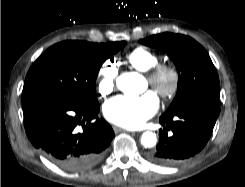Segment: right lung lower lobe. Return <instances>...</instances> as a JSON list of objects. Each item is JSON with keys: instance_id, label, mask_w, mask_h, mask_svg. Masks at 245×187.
I'll list each match as a JSON object with an SVG mask.
<instances>
[{"instance_id": "1", "label": "right lung lower lobe", "mask_w": 245, "mask_h": 187, "mask_svg": "<svg viewBox=\"0 0 245 187\" xmlns=\"http://www.w3.org/2000/svg\"><path fill=\"white\" fill-rule=\"evenodd\" d=\"M100 107L66 98H42L23 105L26 134L46 158L67 171L98 164L114 132L98 118Z\"/></svg>"}]
</instances>
